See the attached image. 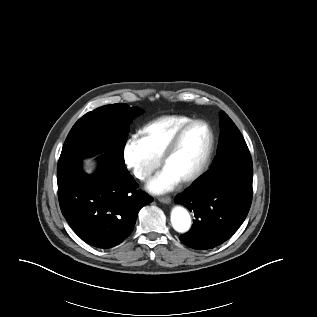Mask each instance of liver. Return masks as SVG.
I'll return each instance as SVG.
<instances>
[{
  "label": "liver",
  "mask_w": 317,
  "mask_h": 317,
  "mask_svg": "<svg viewBox=\"0 0 317 317\" xmlns=\"http://www.w3.org/2000/svg\"><path fill=\"white\" fill-rule=\"evenodd\" d=\"M85 167H86V172L88 173V174H90L91 172H92V166H93V163L92 162H90V160H86V163H85Z\"/></svg>",
  "instance_id": "6515ba94"
}]
</instances>
